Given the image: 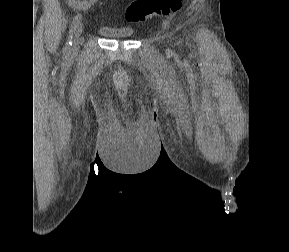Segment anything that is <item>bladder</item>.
<instances>
[{
  "instance_id": "1",
  "label": "bladder",
  "mask_w": 289,
  "mask_h": 252,
  "mask_svg": "<svg viewBox=\"0 0 289 252\" xmlns=\"http://www.w3.org/2000/svg\"><path fill=\"white\" fill-rule=\"evenodd\" d=\"M99 32L107 38L114 39H128L134 35V31L130 28H115L110 26L100 27Z\"/></svg>"
}]
</instances>
